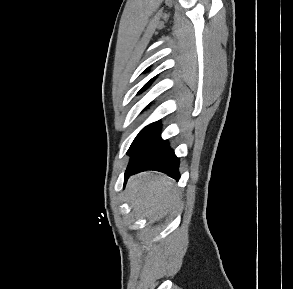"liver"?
<instances>
[{"instance_id":"liver-1","label":"liver","mask_w":293,"mask_h":289,"mask_svg":"<svg viewBox=\"0 0 293 289\" xmlns=\"http://www.w3.org/2000/svg\"><path fill=\"white\" fill-rule=\"evenodd\" d=\"M127 199L136 214L154 221L180 204L179 191L172 179L157 172L132 176L127 185Z\"/></svg>"}]
</instances>
